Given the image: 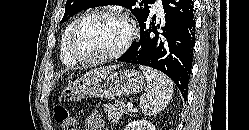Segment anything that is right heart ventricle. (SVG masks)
Masks as SVG:
<instances>
[{"instance_id":"obj_1","label":"right heart ventricle","mask_w":249,"mask_h":130,"mask_svg":"<svg viewBox=\"0 0 249 130\" xmlns=\"http://www.w3.org/2000/svg\"><path fill=\"white\" fill-rule=\"evenodd\" d=\"M76 20L71 21L62 33L60 40V58L61 61L68 66L75 65L77 63L68 53L67 44L71 33V30L75 24Z\"/></svg>"}]
</instances>
